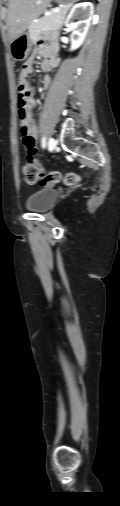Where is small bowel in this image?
I'll return each mask as SVG.
<instances>
[{
    "label": "small bowel",
    "instance_id": "small-bowel-1",
    "mask_svg": "<svg viewBox=\"0 0 120 506\" xmlns=\"http://www.w3.org/2000/svg\"><path fill=\"white\" fill-rule=\"evenodd\" d=\"M41 57L42 64L41 68L44 72L50 71L58 64V46L57 43L52 40L50 43H44L43 41H39L35 47L34 53L31 57H29L26 62L23 64L19 76V85L27 88L30 91V95L27 98L26 106L23 109L22 114L20 115V125H21V133L23 135L31 136L37 140L38 137V129L36 122L33 118V107H34V99L31 93V87L27 80V78L33 72V61L34 57ZM50 84V78L45 76L42 79V91L46 90V88Z\"/></svg>",
    "mask_w": 120,
    "mask_h": 506
}]
</instances>
